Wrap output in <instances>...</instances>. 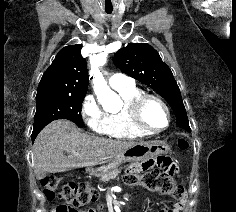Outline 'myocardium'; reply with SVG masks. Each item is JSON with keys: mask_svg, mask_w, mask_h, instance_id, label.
<instances>
[{"mask_svg": "<svg viewBox=\"0 0 236 212\" xmlns=\"http://www.w3.org/2000/svg\"><path fill=\"white\" fill-rule=\"evenodd\" d=\"M149 101H155L160 104L166 112L167 115V124L163 128H153L149 126L144 120V109L146 104ZM129 113L130 118L133 125L140 129L143 132L148 134H158L165 130H167L172 122V114L168 104L159 96L152 94V93H140L136 97H134L131 102L129 103Z\"/></svg>", "mask_w": 236, "mask_h": 212, "instance_id": "myocardium-1", "label": "myocardium"}]
</instances>
